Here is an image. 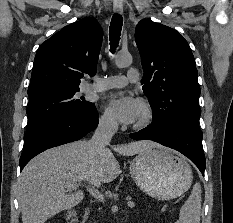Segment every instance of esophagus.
I'll list each match as a JSON object with an SVG mask.
<instances>
[{
    "label": "esophagus",
    "mask_w": 233,
    "mask_h": 223,
    "mask_svg": "<svg viewBox=\"0 0 233 223\" xmlns=\"http://www.w3.org/2000/svg\"><path fill=\"white\" fill-rule=\"evenodd\" d=\"M113 10L117 14L122 13L123 12V3H122V1L115 0L114 3H113Z\"/></svg>",
    "instance_id": "obj_1"
}]
</instances>
